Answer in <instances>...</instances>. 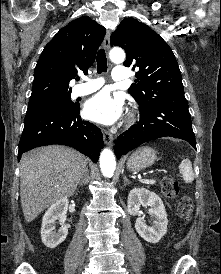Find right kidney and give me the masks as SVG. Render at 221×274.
<instances>
[{"label":"right kidney","mask_w":221,"mask_h":274,"mask_svg":"<svg viewBox=\"0 0 221 274\" xmlns=\"http://www.w3.org/2000/svg\"><path fill=\"white\" fill-rule=\"evenodd\" d=\"M69 201L63 198L55 202L45 212L42 219L41 237L44 245L50 249L56 248L68 235V226L64 224L68 210ZM59 221L61 227L56 232L55 224Z\"/></svg>","instance_id":"ca27d5eb"}]
</instances>
